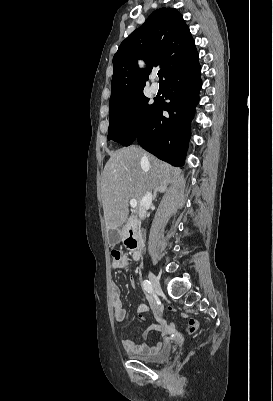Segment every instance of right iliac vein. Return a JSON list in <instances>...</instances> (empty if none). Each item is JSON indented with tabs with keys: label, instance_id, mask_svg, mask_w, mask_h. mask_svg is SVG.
I'll return each instance as SVG.
<instances>
[{
	"label": "right iliac vein",
	"instance_id": "right-iliac-vein-1",
	"mask_svg": "<svg viewBox=\"0 0 273 401\" xmlns=\"http://www.w3.org/2000/svg\"><path fill=\"white\" fill-rule=\"evenodd\" d=\"M149 280H150L151 285H152L153 289L155 290V292L157 294L161 293L162 289H161V285H160V281H159L158 277L155 276L153 273H149Z\"/></svg>",
	"mask_w": 273,
	"mask_h": 401
}]
</instances>
